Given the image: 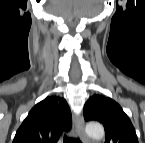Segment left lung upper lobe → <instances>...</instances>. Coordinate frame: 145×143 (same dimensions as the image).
Wrapping results in <instances>:
<instances>
[{
    "label": "left lung upper lobe",
    "mask_w": 145,
    "mask_h": 143,
    "mask_svg": "<svg viewBox=\"0 0 145 143\" xmlns=\"http://www.w3.org/2000/svg\"><path fill=\"white\" fill-rule=\"evenodd\" d=\"M84 118L103 123L105 143H138L130 119L120 105L108 97L92 96L84 106Z\"/></svg>",
    "instance_id": "left-lung-upper-lobe-1"
}]
</instances>
